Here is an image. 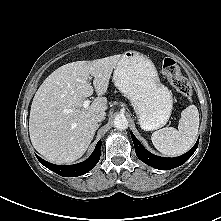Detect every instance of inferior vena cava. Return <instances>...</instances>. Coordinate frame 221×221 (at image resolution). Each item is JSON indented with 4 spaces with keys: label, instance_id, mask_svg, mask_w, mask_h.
<instances>
[{
    "label": "inferior vena cava",
    "instance_id": "inferior-vena-cava-1",
    "mask_svg": "<svg viewBox=\"0 0 221 221\" xmlns=\"http://www.w3.org/2000/svg\"><path fill=\"white\" fill-rule=\"evenodd\" d=\"M104 119H105V113H100V114L96 115V117H95V120H96L97 122H101V121H103Z\"/></svg>",
    "mask_w": 221,
    "mask_h": 221
}]
</instances>
